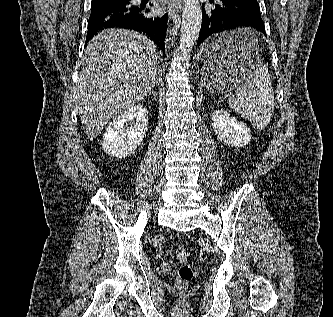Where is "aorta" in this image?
<instances>
[{
	"mask_svg": "<svg viewBox=\"0 0 333 317\" xmlns=\"http://www.w3.org/2000/svg\"><path fill=\"white\" fill-rule=\"evenodd\" d=\"M201 22L202 10L199 0H184L179 49L186 66H190V53L198 39Z\"/></svg>",
	"mask_w": 333,
	"mask_h": 317,
	"instance_id": "obj_1",
	"label": "aorta"
}]
</instances>
